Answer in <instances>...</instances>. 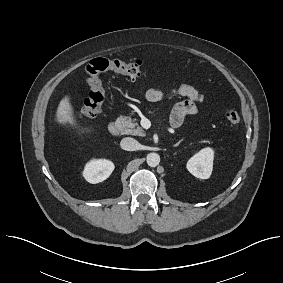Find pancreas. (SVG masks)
<instances>
[{
    "label": "pancreas",
    "mask_w": 283,
    "mask_h": 283,
    "mask_svg": "<svg viewBox=\"0 0 283 283\" xmlns=\"http://www.w3.org/2000/svg\"><path fill=\"white\" fill-rule=\"evenodd\" d=\"M119 120L121 122L120 129L122 134L145 136V131L136 122L137 119H131L128 116H122L119 118Z\"/></svg>",
    "instance_id": "cf45deb5"
}]
</instances>
